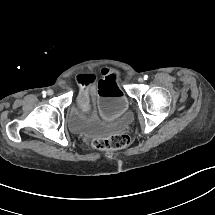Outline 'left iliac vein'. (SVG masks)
<instances>
[{"label":"left iliac vein","mask_w":215,"mask_h":215,"mask_svg":"<svg viewBox=\"0 0 215 215\" xmlns=\"http://www.w3.org/2000/svg\"><path fill=\"white\" fill-rule=\"evenodd\" d=\"M138 81H139L140 83H142V82H143V78L140 77V78L138 79Z\"/></svg>","instance_id":"1"}]
</instances>
